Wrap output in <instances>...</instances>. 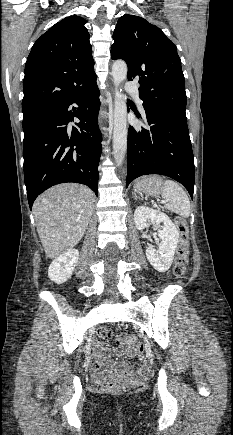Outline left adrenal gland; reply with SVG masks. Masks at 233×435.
Segmentation results:
<instances>
[{
  "instance_id": "a2214340",
  "label": "left adrenal gland",
  "mask_w": 233,
  "mask_h": 435,
  "mask_svg": "<svg viewBox=\"0 0 233 435\" xmlns=\"http://www.w3.org/2000/svg\"><path fill=\"white\" fill-rule=\"evenodd\" d=\"M134 199H138V196H137V194H136V191H134V197H133Z\"/></svg>"
}]
</instances>
